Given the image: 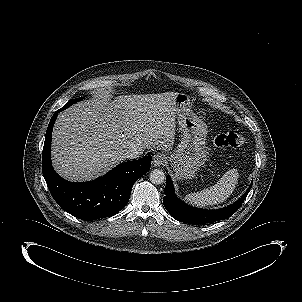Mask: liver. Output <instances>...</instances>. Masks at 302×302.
Returning a JSON list of instances; mask_svg holds the SVG:
<instances>
[{"mask_svg": "<svg viewBox=\"0 0 302 302\" xmlns=\"http://www.w3.org/2000/svg\"><path fill=\"white\" fill-rule=\"evenodd\" d=\"M177 94L120 95L71 106L54 124L53 167L70 181H89L124 161L126 150H171Z\"/></svg>", "mask_w": 302, "mask_h": 302, "instance_id": "liver-1", "label": "liver"}]
</instances>
